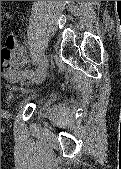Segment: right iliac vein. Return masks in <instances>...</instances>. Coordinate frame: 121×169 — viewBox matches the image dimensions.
Returning a JSON list of instances; mask_svg holds the SVG:
<instances>
[{
	"instance_id": "1",
	"label": "right iliac vein",
	"mask_w": 121,
	"mask_h": 169,
	"mask_svg": "<svg viewBox=\"0 0 121 169\" xmlns=\"http://www.w3.org/2000/svg\"><path fill=\"white\" fill-rule=\"evenodd\" d=\"M47 68H48V58L47 56H44L41 60V63L38 67V70L35 76L29 78L28 85H33L35 83L36 84L41 83L45 78Z\"/></svg>"
}]
</instances>
